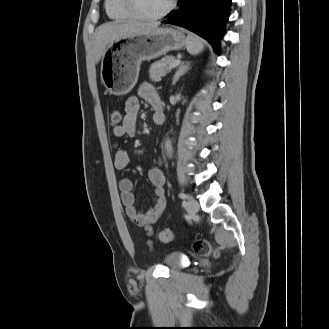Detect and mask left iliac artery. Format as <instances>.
<instances>
[{"instance_id":"1","label":"left iliac artery","mask_w":329,"mask_h":329,"mask_svg":"<svg viewBox=\"0 0 329 329\" xmlns=\"http://www.w3.org/2000/svg\"><path fill=\"white\" fill-rule=\"evenodd\" d=\"M179 197H180L181 199H186L188 196H187V194L181 192V193H179Z\"/></svg>"}]
</instances>
